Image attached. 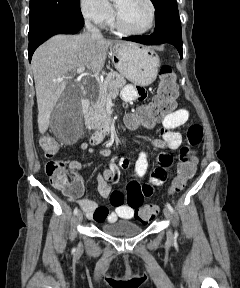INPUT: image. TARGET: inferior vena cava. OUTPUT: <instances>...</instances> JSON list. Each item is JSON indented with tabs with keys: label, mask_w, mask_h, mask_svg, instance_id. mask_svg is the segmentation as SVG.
<instances>
[{
	"label": "inferior vena cava",
	"mask_w": 240,
	"mask_h": 288,
	"mask_svg": "<svg viewBox=\"0 0 240 288\" xmlns=\"http://www.w3.org/2000/svg\"><path fill=\"white\" fill-rule=\"evenodd\" d=\"M85 27L87 32L90 33L93 38L102 37L100 30L97 27H95L89 19L85 20Z\"/></svg>",
	"instance_id": "1"
}]
</instances>
